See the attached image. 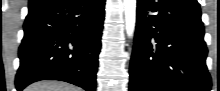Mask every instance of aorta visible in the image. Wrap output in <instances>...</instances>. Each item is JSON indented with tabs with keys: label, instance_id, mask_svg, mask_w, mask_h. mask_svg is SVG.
<instances>
[{
	"label": "aorta",
	"instance_id": "762f6f07",
	"mask_svg": "<svg viewBox=\"0 0 220 91\" xmlns=\"http://www.w3.org/2000/svg\"><path fill=\"white\" fill-rule=\"evenodd\" d=\"M125 8L126 32L129 37L133 36L136 24V0H123Z\"/></svg>",
	"mask_w": 220,
	"mask_h": 91
}]
</instances>
